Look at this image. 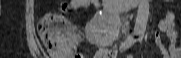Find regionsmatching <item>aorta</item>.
Here are the masks:
<instances>
[{"instance_id":"obj_1","label":"aorta","mask_w":181,"mask_h":58,"mask_svg":"<svg viewBox=\"0 0 181 58\" xmlns=\"http://www.w3.org/2000/svg\"><path fill=\"white\" fill-rule=\"evenodd\" d=\"M149 0H140L134 26V32L144 33L146 30L149 16Z\"/></svg>"}]
</instances>
